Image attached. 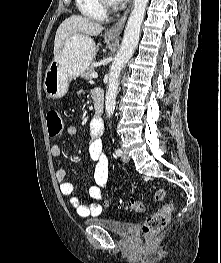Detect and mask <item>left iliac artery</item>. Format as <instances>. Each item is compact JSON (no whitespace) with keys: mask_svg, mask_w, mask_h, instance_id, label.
<instances>
[{"mask_svg":"<svg viewBox=\"0 0 221 263\" xmlns=\"http://www.w3.org/2000/svg\"><path fill=\"white\" fill-rule=\"evenodd\" d=\"M115 153H116L117 156H120L122 154V151L120 149H116Z\"/></svg>","mask_w":221,"mask_h":263,"instance_id":"44dca946","label":"left iliac artery"}]
</instances>
